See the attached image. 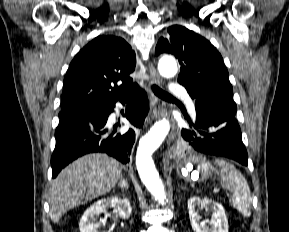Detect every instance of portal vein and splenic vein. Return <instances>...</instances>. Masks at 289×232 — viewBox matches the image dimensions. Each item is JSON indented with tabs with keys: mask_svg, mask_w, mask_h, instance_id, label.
<instances>
[{
	"mask_svg": "<svg viewBox=\"0 0 289 232\" xmlns=\"http://www.w3.org/2000/svg\"><path fill=\"white\" fill-rule=\"evenodd\" d=\"M215 192H219V189H215Z\"/></svg>",
	"mask_w": 289,
	"mask_h": 232,
	"instance_id": "18ae733b",
	"label": "portal vein and splenic vein"
}]
</instances>
